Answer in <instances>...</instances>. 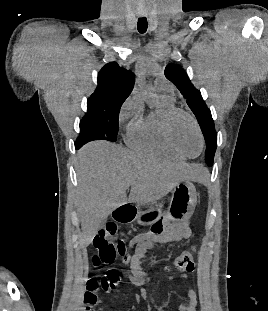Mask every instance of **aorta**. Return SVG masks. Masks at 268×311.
<instances>
[{"instance_id":"762f6f07","label":"aorta","mask_w":268,"mask_h":311,"mask_svg":"<svg viewBox=\"0 0 268 311\" xmlns=\"http://www.w3.org/2000/svg\"><path fill=\"white\" fill-rule=\"evenodd\" d=\"M141 69H142L143 72L150 71V67L147 66V65L142 66ZM139 89H140L141 91H147V90H148L146 84H144V83H140Z\"/></svg>"}]
</instances>
